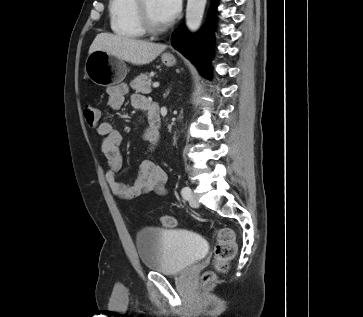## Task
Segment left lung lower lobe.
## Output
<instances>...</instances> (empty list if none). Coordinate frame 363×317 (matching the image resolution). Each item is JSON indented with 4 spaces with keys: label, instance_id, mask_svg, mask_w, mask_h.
Instances as JSON below:
<instances>
[{
    "label": "left lung lower lobe",
    "instance_id": "0a47b994",
    "mask_svg": "<svg viewBox=\"0 0 363 317\" xmlns=\"http://www.w3.org/2000/svg\"><path fill=\"white\" fill-rule=\"evenodd\" d=\"M172 46L184 54L199 69L202 76L209 78V62L211 55L210 31L196 35L188 33L180 26L171 37Z\"/></svg>",
    "mask_w": 363,
    "mask_h": 317
}]
</instances>
